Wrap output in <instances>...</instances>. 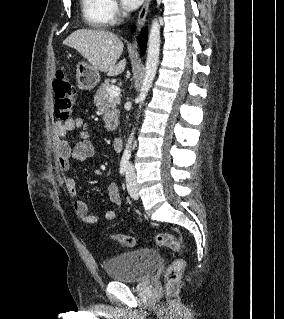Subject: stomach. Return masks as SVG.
Listing matches in <instances>:
<instances>
[{"label": "stomach", "instance_id": "stomach-1", "mask_svg": "<svg viewBox=\"0 0 284 319\" xmlns=\"http://www.w3.org/2000/svg\"><path fill=\"white\" fill-rule=\"evenodd\" d=\"M76 78L79 86L85 90H92L100 80L98 70L86 62H80L76 69Z\"/></svg>", "mask_w": 284, "mask_h": 319}]
</instances>
